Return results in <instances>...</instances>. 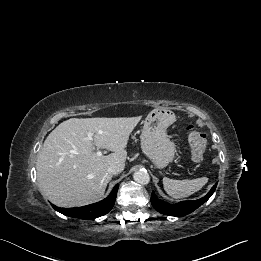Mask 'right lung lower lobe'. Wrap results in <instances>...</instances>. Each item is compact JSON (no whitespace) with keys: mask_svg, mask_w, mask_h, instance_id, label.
<instances>
[{"mask_svg":"<svg viewBox=\"0 0 261 261\" xmlns=\"http://www.w3.org/2000/svg\"><path fill=\"white\" fill-rule=\"evenodd\" d=\"M118 185H116L111 194L104 200L78 208H58L54 205L53 208L70 217H76L81 219H94L107 214L114 206L117 196Z\"/></svg>","mask_w":261,"mask_h":261,"instance_id":"obj_1","label":"right lung lower lobe"}]
</instances>
